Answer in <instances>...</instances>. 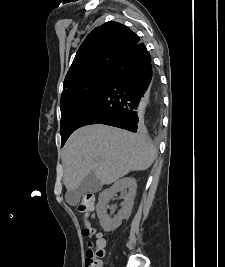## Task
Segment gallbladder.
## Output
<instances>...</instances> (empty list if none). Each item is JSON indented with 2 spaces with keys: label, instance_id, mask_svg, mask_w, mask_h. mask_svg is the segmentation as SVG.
I'll list each match as a JSON object with an SVG mask.
<instances>
[{
  "label": "gallbladder",
  "instance_id": "bac80fb5",
  "mask_svg": "<svg viewBox=\"0 0 225 267\" xmlns=\"http://www.w3.org/2000/svg\"><path fill=\"white\" fill-rule=\"evenodd\" d=\"M101 188V182L91 172L82 180L78 188L67 191L65 195L66 202L71 206H75L80 202V199L84 194L98 192Z\"/></svg>",
  "mask_w": 225,
  "mask_h": 267
}]
</instances>
